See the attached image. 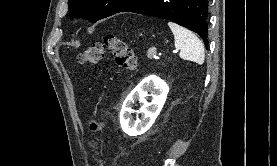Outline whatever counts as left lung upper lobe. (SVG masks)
I'll return each instance as SVG.
<instances>
[{"label": "left lung upper lobe", "instance_id": "1", "mask_svg": "<svg viewBox=\"0 0 277 166\" xmlns=\"http://www.w3.org/2000/svg\"><path fill=\"white\" fill-rule=\"evenodd\" d=\"M136 0H69V16L83 17L96 22L119 13Z\"/></svg>", "mask_w": 277, "mask_h": 166}]
</instances>
